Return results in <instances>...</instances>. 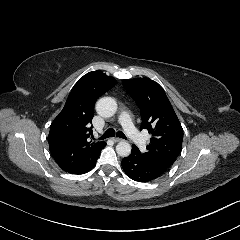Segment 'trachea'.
Returning <instances> with one entry per match:
<instances>
[{"label":"trachea","instance_id":"3493384b","mask_svg":"<svg viewBox=\"0 0 240 240\" xmlns=\"http://www.w3.org/2000/svg\"><path fill=\"white\" fill-rule=\"evenodd\" d=\"M117 136L119 138L122 139H127V137L124 135V133L122 131H118L117 133H115V130L113 128H109L100 138L99 140H104L106 138H110V137H114Z\"/></svg>","mask_w":240,"mask_h":240}]
</instances>
